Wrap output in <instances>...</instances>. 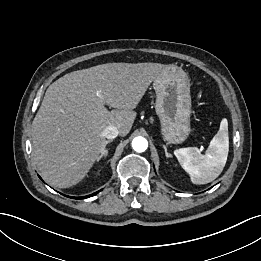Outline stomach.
<instances>
[{
	"label": "stomach",
	"mask_w": 261,
	"mask_h": 261,
	"mask_svg": "<svg viewBox=\"0 0 261 261\" xmlns=\"http://www.w3.org/2000/svg\"><path fill=\"white\" fill-rule=\"evenodd\" d=\"M155 111L161 124V134L168 143L184 142L191 131V96L188 75L177 66H168L154 81Z\"/></svg>",
	"instance_id": "1"
}]
</instances>
